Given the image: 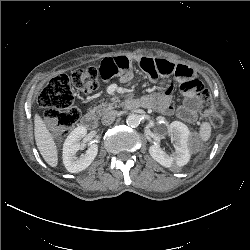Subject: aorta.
Masks as SVG:
<instances>
[{"label":"aorta","mask_w":250,"mask_h":250,"mask_svg":"<svg viewBox=\"0 0 250 250\" xmlns=\"http://www.w3.org/2000/svg\"><path fill=\"white\" fill-rule=\"evenodd\" d=\"M126 123L130 127H137L140 124V116L135 113H131L126 118Z\"/></svg>","instance_id":"1"}]
</instances>
